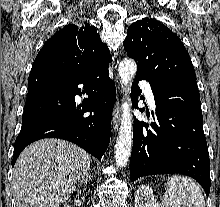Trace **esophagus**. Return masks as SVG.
<instances>
[{
	"label": "esophagus",
	"instance_id": "1",
	"mask_svg": "<svg viewBox=\"0 0 220 207\" xmlns=\"http://www.w3.org/2000/svg\"><path fill=\"white\" fill-rule=\"evenodd\" d=\"M119 122H120V104L119 102H116L113 109V119H112L114 132L117 131L119 127Z\"/></svg>",
	"mask_w": 220,
	"mask_h": 207
}]
</instances>
